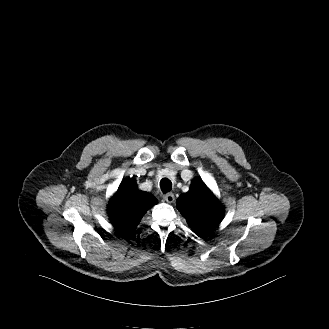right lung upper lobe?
Here are the masks:
<instances>
[{"mask_svg": "<svg viewBox=\"0 0 329 329\" xmlns=\"http://www.w3.org/2000/svg\"><path fill=\"white\" fill-rule=\"evenodd\" d=\"M155 204L157 199L147 192L138 190L136 182L130 179L120 184L110 199L107 211L117 232L131 234L146 211Z\"/></svg>", "mask_w": 329, "mask_h": 329, "instance_id": "cb5924a9", "label": "right lung upper lobe"}]
</instances>
